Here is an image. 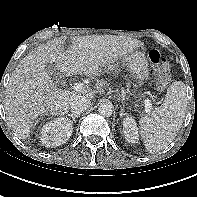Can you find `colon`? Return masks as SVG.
I'll use <instances>...</instances> for the list:
<instances>
[{"mask_svg": "<svg viewBox=\"0 0 197 197\" xmlns=\"http://www.w3.org/2000/svg\"><path fill=\"white\" fill-rule=\"evenodd\" d=\"M148 59L154 66L157 76V85L160 89L165 88L170 81V67L165 56L158 49H151Z\"/></svg>", "mask_w": 197, "mask_h": 197, "instance_id": "1", "label": "colon"}]
</instances>
